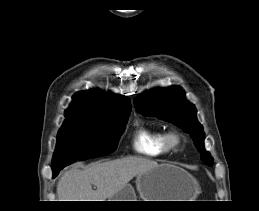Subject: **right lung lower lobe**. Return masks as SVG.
Masks as SVG:
<instances>
[{
  "instance_id": "obj_1",
  "label": "right lung lower lobe",
  "mask_w": 259,
  "mask_h": 211,
  "mask_svg": "<svg viewBox=\"0 0 259 211\" xmlns=\"http://www.w3.org/2000/svg\"><path fill=\"white\" fill-rule=\"evenodd\" d=\"M58 173H59V171H54L53 172L54 177H56L58 175Z\"/></svg>"
}]
</instances>
